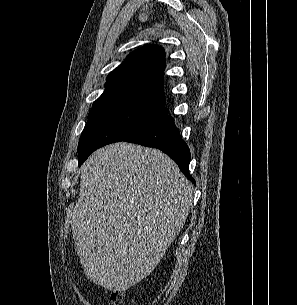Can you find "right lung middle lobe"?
Instances as JSON below:
<instances>
[{
  "label": "right lung middle lobe",
  "mask_w": 297,
  "mask_h": 305,
  "mask_svg": "<svg viewBox=\"0 0 297 305\" xmlns=\"http://www.w3.org/2000/svg\"><path fill=\"white\" fill-rule=\"evenodd\" d=\"M164 103L119 98L93 105L78 144L79 166L96 149L142 132L168 114Z\"/></svg>",
  "instance_id": "right-lung-middle-lobe-1"
}]
</instances>
